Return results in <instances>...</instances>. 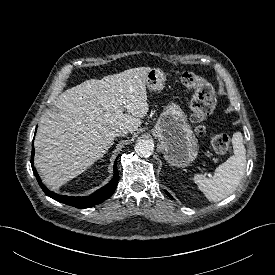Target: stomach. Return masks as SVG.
<instances>
[{
	"mask_svg": "<svg viewBox=\"0 0 275 275\" xmlns=\"http://www.w3.org/2000/svg\"><path fill=\"white\" fill-rule=\"evenodd\" d=\"M165 73L152 68L147 74L146 84L150 90L159 91L165 86ZM163 151L164 158L173 166L183 167L192 163L198 155L195 137L183 110L179 105L170 103L158 118L153 129Z\"/></svg>",
	"mask_w": 275,
	"mask_h": 275,
	"instance_id": "stomach-1",
	"label": "stomach"
}]
</instances>
